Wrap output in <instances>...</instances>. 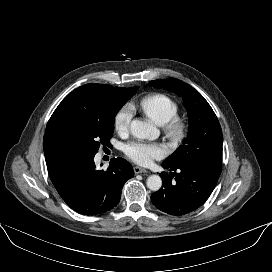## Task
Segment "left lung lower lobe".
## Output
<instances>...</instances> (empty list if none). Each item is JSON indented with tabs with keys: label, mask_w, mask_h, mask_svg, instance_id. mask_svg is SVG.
Listing matches in <instances>:
<instances>
[{
	"label": "left lung lower lobe",
	"mask_w": 272,
	"mask_h": 272,
	"mask_svg": "<svg viewBox=\"0 0 272 272\" xmlns=\"http://www.w3.org/2000/svg\"><path fill=\"white\" fill-rule=\"evenodd\" d=\"M162 172V188L151 195L152 203L171 215H185L202 206L214 190L220 174L189 163L168 165Z\"/></svg>",
	"instance_id": "1"
}]
</instances>
